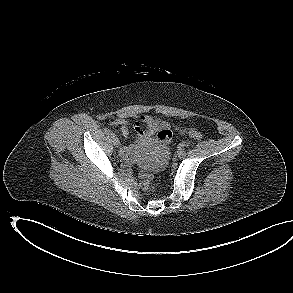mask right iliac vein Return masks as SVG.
<instances>
[{"label":"right iliac vein","mask_w":293,"mask_h":293,"mask_svg":"<svg viewBox=\"0 0 293 293\" xmlns=\"http://www.w3.org/2000/svg\"><path fill=\"white\" fill-rule=\"evenodd\" d=\"M112 138V142L114 144V146L119 147L120 146V141L116 136L111 137Z\"/></svg>","instance_id":"63e3f726"}]
</instances>
